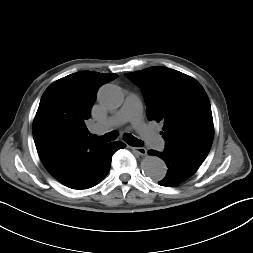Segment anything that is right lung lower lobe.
I'll list each match as a JSON object with an SVG mask.
<instances>
[{"label":"right lung lower lobe","mask_w":253,"mask_h":253,"mask_svg":"<svg viewBox=\"0 0 253 253\" xmlns=\"http://www.w3.org/2000/svg\"><path fill=\"white\" fill-rule=\"evenodd\" d=\"M126 145L122 142H112L104 144L102 149L99 151L98 160H97V170L95 175L88 182L80 185L75 189H87L95 186L101 182L105 176L108 174L111 166V157L112 155L121 148H124Z\"/></svg>","instance_id":"98d812e1"}]
</instances>
